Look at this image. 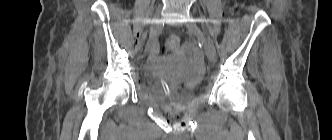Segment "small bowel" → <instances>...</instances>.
<instances>
[{
	"label": "small bowel",
	"instance_id": "c3829d8e",
	"mask_svg": "<svg viewBox=\"0 0 332 140\" xmlns=\"http://www.w3.org/2000/svg\"><path fill=\"white\" fill-rule=\"evenodd\" d=\"M157 50H158V44L157 42L153 41L151 43V45L149 46V53L152 57L155 56V54L157 53Z\"/></svg>",
	"mask_w": 332,
	"mask_h": 140
}]
</instances>
